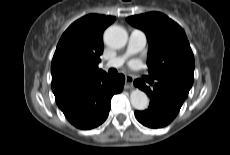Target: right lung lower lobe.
<instances>
[{
	"mask_svg": "<svg viewBox=\"0 0 230 155\" xmlns=\"http://www.w3.org/2000/svg\"><path fill=\"white\" fill-rule=\"evenodd\" d=\"M124 82L123 74L111 77L105 73L54 95L58 107L71 124L79 129H92L106 120L111 98L122 91Z\"/></svg>",
	"mask_w": 230,
	"mask_h": 155,
	"instance_id": "1",
	"label": "right lung lower lobe"
}]
</instances>
